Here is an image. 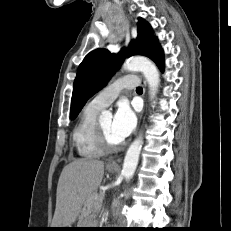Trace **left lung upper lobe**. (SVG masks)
<instances>
[{"mask_svg": "<svg viewBox=\"0 0 231 231\" xmlns=\"http://www.w3.org/2000/svg\"><path fill=\"white\" fill-rule=\"evenodd\" d=\"M137 31L136 40H132L118 55L110 53L107 49L98 48L85 56L74 80L71 119H75L86 101L105 86L126 57L144 55L151 59L156 54L160 46L157 38L153 37L149 24L139 18Z\"/></svg>", "mask_w": 231, "mask_h": 231, "instance_id": "left-lung-upper-lobe-1", "label": "left lung upper lobe"}]
</instances>
